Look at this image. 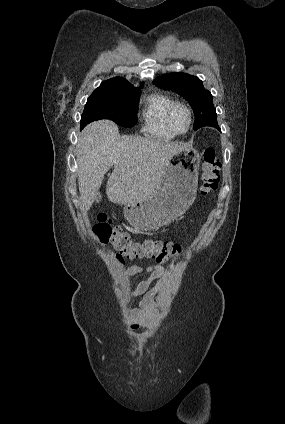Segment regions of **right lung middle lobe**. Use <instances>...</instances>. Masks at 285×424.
<instances>
[{
    "instance_id": "right-lung-middle-lobe-1",
    "label": "right lung middle lobe",
    "mask_w": 285,
    "mask_h": 424,
    "mask_svg": "<svg viewBox=\"0 0 285 424\" xmlns=\"http://www.w3.org/2000/svg\"><path fill=\"white\" fill-rule=\"evenodd\" d=\"M139 88L94 91L88 98L81 116V129L88 123L110 119L123 127L137 123Z\"/></svg>"
}]
</instances>
